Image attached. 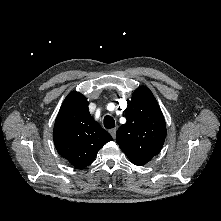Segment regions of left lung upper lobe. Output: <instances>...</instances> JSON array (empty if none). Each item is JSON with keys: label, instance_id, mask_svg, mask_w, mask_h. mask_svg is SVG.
I'll return each mask as SVG.
<instances>
[{"label": "left lung upper lobe", "instance_id": "5c2ea615", "mask_svg": "<svg viewBox=\"0 0 221 221\" xmlns=\"http://www.w3.org/2000/svg\"><path fill=\"white\" fill-rule=\"evenodd\" d=\"M125 113L127 122L117 130L116 141L129 160L141 166L161 150L166 137L165 119L145 86L135 90Z\"/></svg>", "mask_w": 221, "mask_h": 221}]
</instances>
